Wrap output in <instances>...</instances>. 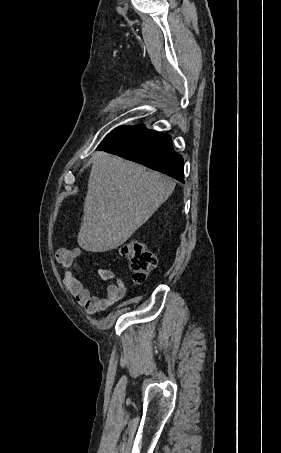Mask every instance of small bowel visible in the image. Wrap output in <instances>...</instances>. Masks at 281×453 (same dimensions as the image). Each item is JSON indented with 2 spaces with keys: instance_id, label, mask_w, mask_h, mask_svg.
I'll use <instances>...</instances> for the list:
<instances>
[{
  "instance_id": "c3829d8e",
  "label": "small bowel",
  "mask_w": 281,
  "mask_h": 453,
  "mask_svg": "<svg viewBox=\"0 0 281 453\" xmlns=\"http://www.w3.org/2000/svg\"><path fill=\"white\" fill-rule=\"evenodd\" d=\"M80 255L81 252L76 249H61L56 254V261L62 269L67 287L85 305L86 313L94 315L123 298L126 295L127 287L122 275L115 276L111 269L100 267L97 269L98 277L109 282L106 295L105 297L92 295L90 289L80 282L75 275L77 260Z\"/></svg>"
}]
</instances>
